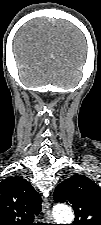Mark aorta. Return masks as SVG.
<instances>
[{"label":"aorta","mask_w":101,"mask_h":225,"mask_svg":"<svg viewBox=\"0 0 101 225\" xmlns=\"http://www.w3.org/2000/svg\"><path fill=\"white\" fill-rule=\"evenodd\" d=\"M53 217L57 224H71L74 215L69 206L59 204L56 205L53 209Z\"/></svg>","instance_id":"aorta-1"}]
</instances>
